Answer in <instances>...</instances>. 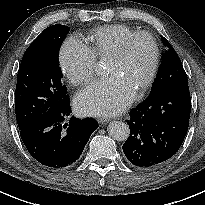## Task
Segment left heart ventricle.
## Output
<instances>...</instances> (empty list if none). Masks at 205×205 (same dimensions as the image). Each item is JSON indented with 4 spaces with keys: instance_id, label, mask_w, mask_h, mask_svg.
<instances>
[{
    "instance_id": "left-heart-ventricle-1",
    "label": "left heart ventricle",
    "mask_w": 205,
    "mask_h": 205,
    "mask_svg": "<svg viewBox=\"0 0 205 205\" xmlns=\"http://www.w3.org/2000/svg\"><path fill=\"white\" fill-rule=\"evenodd\" d=\"M152 55L150 41L145 37L137 38L130 44L122 60L108 61V74L125 79L137 90L150 71Z\"/></svg>"
}]
</instances>
